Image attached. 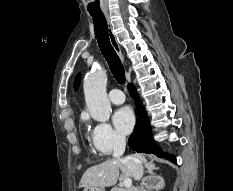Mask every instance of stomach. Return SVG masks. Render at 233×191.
Masks as SVG:
<instances>
[{"mask_svg": "<svg viewBox=\"0 0 233 191\" xmlns=\"http://www.w3.org/2000/svg\"><path fill=\"white\" fill-rule=\"evenodd\" d=\"M83 191H104L102 188H84Z\"/></svg>", "mask_w": 233, "mask_h": 191, "instance_id": "0dacf381", "label": "stomach"}]
</instances>
